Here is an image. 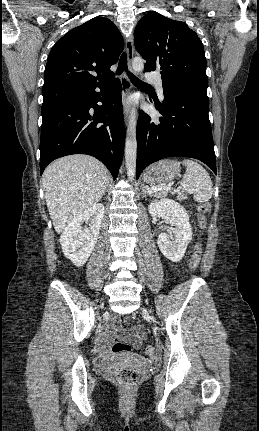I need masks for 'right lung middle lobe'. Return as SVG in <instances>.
<instances>
[{
	"instance_id": "obj_1",
	"label": "right lung middle lobe",
	"mask_w": 259,
	"mask_h": 431,
	"mask_svg": "<svg viewBox=\"0 0 259 431\" xmlns=\"http://www.w3.org/2000/svg\"><path fill=\"white\" fill-rule=\"evenodd\" d=\"M57 90H60V89H53V90L42 91V93H43V96H45V95H48V94H50V93H52L54 91H57Z\"/></svg>"
}]
</instances>
